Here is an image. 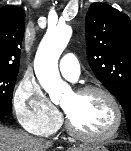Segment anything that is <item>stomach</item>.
Wrapping results in <instances>:
<instances>
[{"mask_svg": "<svg viewBox=\"0 0 131 151\" xmlns=\"http://www.w3.org/2000/svg\"><path fill=\"white\" fill-rule=\"evenodd\" d=\"M80 151H108V149L102 145L94 144L82 147V150Z\"/></svg>", "mask_w": 131, "mask_h": 151, "instance_id": "obj_1", "label": "stomach"}]
</instances>
